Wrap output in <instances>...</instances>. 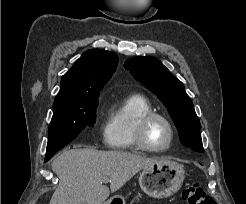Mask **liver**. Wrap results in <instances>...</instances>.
I'll use <instances>...</instances> for the list:
<instances>
[{
	"label": "liver",
	"mask_w": 246,
	"mask_h": 204,
	"mask_svg": "<svg viewBox=\"0 0 246 204\" xmlns=\"http://www.w3.org/2000/svg\"><path fill=\"white\" fill-rule=\"evenodd\" d=\"M159 161L124 151L71 149L52 162L59 185L50 204H104L140 170ZM109 178L110 188L103 183Z\"/></svg>",
	"instance_id": "liver-1"
}]
</instances>
